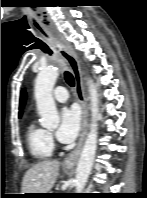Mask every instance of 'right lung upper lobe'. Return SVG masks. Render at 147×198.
Wrapping results in <instances>:
<instances>
[{"instance_id":"right-lung-upper-lobe-1","label":"right lung upper lobe","mask_w":147,"mask_h":198,"mask_svg":"<svg viewBox=\"0 0 147 198\" xmlns=\"http://www.w3.org/2000/svg\"><path fill=\"white\" fill-rule=\"evenodd\" d=\"M25 101H26V92L24 90H22L21 97H20L19 117H21V115H22V110L25 105Z\"/></svg>"}]
</instances>
